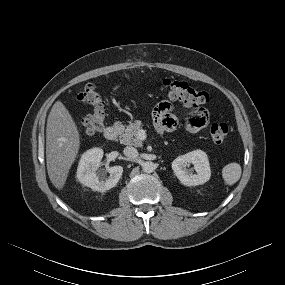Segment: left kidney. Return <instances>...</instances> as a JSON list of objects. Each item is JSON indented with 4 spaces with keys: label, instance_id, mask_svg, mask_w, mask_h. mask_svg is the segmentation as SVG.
I'll return each mask as SVG.
<instances>
[{
    "label": "left kidney",
    "instance_id": "1",
    "mask_svg": "<svg viewBox=\"0 0 285 285\" xmlns=\"http://www.w3.org/2000/svg\"><path fill=\"white\" fill-rule=\"evenodd\" d=\"M190 163L194 165L196 173L186 168ZM172 169L180 182L186 186L204 184L211 177L208 157L202 150H195L177 157L172 162Z\"/></svg>",
    "mask_w": 285,
    "mask_h": 285
}]
</instances>
